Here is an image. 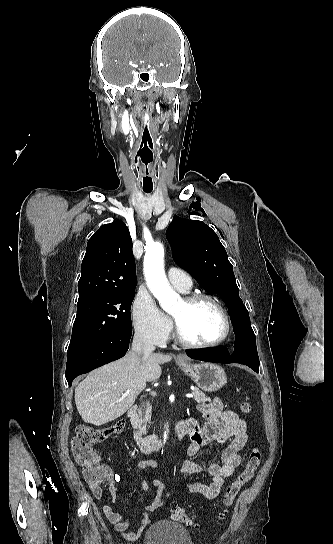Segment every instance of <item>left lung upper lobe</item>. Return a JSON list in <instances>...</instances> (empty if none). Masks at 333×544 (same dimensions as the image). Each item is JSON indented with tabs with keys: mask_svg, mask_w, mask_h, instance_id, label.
Segmentation results:
<instances>
[{
	"mask_svg": "<svg viewBox=\"0 0 333 544\" xmlns=\"http://www.w3.org/2000/svg\"><path fill=\"white\" fill-rule=\"evenodd\" d=\"M174 261L211 293H220L233 319L249 320L224 246L205 223L174 217L166 232Z\"/></svg>",
	"mask_w": 333,
	"mask_h": 544,
	"instance_id": "5c2ea615",
	"label": "left lung upper lobe"
}]
</instances>
